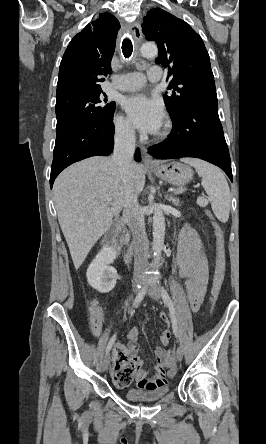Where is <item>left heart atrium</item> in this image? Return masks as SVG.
<instances>
[{
    "mask_svg": "<svg viewBox=\"0 0 266 444\" xmlns=\"http://www.w3.org/2000/svg\"><path fill=\"white\" fill-rule=\"evenodd\" d=\"M124 109L133 124L146 133H156L164 121L161 103L153 98L137 93L126 98Z\"/></svg>",
    "mask_w": 266,
    "mask_h": 444,
    "instance_id": "obj_1",
    "label": "left heart atrium"
}]
</instances>
